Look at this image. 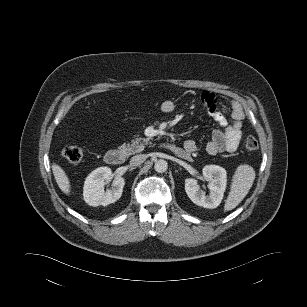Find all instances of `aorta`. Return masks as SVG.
<instances>
[{
  "mask_svg": "<svg viewBox=\"0 0 307 307\" xmlns=\"http://www.w3.org/2000/svg\"><path fill=\"white\" fill-rule=\"evenodd\" d=\"M168 168V163L167 161L163 160V159H159L155 162L154 164V169L156 172L158 173H163L167 170Z\"/></svg>",
  "mask_w": 307,
  "mask_h": 307,
  "instance_id": "1",
  "label": "aorta"
}]
</instances>
